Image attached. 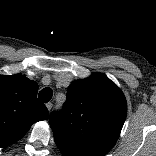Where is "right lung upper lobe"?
I'll list each match as a JSON object with an SVG mask.
<instances>
[{
    "label": "right lung upper lobe",
    "mask_w": 156,
    "mask_h": 156,
    "mask_svg": "<svg viewBox=\"0 0 156 156\" xmlns=\"http://www.w3.org/2000/svg\"><path fill=\"white\" fill-rule=\"evenodd\" d=\"M37 92V83L25 76H0V147L18 141L33 123L49 117Z\"/></svg>",
    "instance_id": "right-lung-upper-lobe-1"
}]
</instances>
